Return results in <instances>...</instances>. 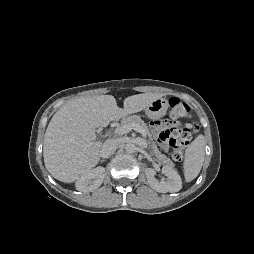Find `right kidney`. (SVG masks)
<instances>
[{"label":"right kidney","mask_w":254,"mask_h":254,"mask_svg":"<svg viewBox=\"0 0 254 254\" xmlns=\"http://www.w3.org/2000/svg\"><path fill=\"white\" fill-rule=\"evenodd\" d=\"M105 178V168L97 167L91 169L85 175L81 176L76 181V188L82 192H88L97 189L101 186Z\"/></svg>","instance_id":"1"}]
</instances>
